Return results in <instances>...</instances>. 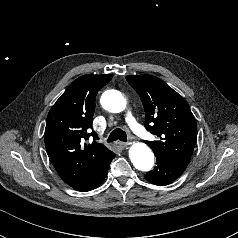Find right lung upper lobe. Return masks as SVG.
I'll return each instance as SVG.
<instances>
[{
    "mask_svg": "<svg viewBox=\"0 0 238 238\" xmlns=\"http://www.w3.org/2000/svg\"><path fill=\"white\" fill-rule=\"evenodd\" d=\"M113 75H83L66 89L49 111L45 128L48 157L59 176L73 186L92 174L114 153L93 141L84 143L92 129L97 92Z\"/></svg>",
    "mask_w": 238,
    "mask_h": 238,
    "instance_id": "1",
    "label": "right lung upper lobe"
}]
</instances>
